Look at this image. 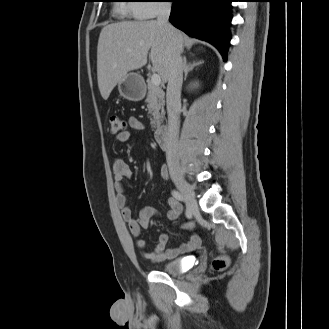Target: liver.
I'll return each instance as SVG.
<instances>
[{
	"instance_id": "liver-1",
	"label": "liver",
	"mask_w": 329,
	"mask_h": 329,
	"mask_svg": "<svg viewBox=\"0 0 329 329\" xmlns=\"http://www.w3.org/2000/svg\"><path fill=\"white\" fill-rule=\"evenodd\" d=\"M174 30L182 52L187 38ZM149 50L152 69L166 82L172 46L165 29L157 21H123L106 25L101 30L97 46V79L104 100L129 71L147 63Z\"/></svg>"
}]
</instances>
